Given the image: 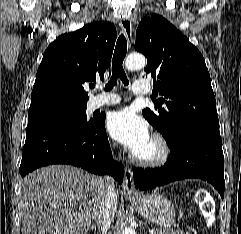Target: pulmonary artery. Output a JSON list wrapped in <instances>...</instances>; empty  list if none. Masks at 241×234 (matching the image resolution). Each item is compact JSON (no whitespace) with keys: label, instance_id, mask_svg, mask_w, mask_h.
<instances>
[{"label":"pulmonary artery","instance_id":"obj_1","mask_svg":"<svg viewBox=\"0 0 241 234\" xmlns=\"http://www.w3.org/2000/svg\"><path fill=\"white\" fill-rule=\"evenodd\" d=\"M151 91L148 84L143 82H136L132 87V92L135 95H146ZM120 103V97L116 94H102L93 97L89 102V108L96 110L105 106L116 105Z\"/></svg>","mask_w":241,"mask_h":234}]
</instances>
